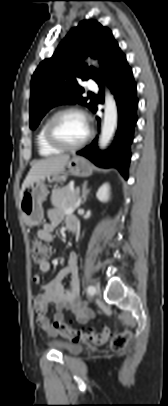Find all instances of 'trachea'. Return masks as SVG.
Returning <instances> with one entry per match:
<instances>
[{
    "label": "trachea",
    "mask_w": 168,
    "mask_h": 406,
    "mask_svg": "<svg viewBox=\"0 0 168 406\" xmlns=\"http://www.w3.org/2000/svg\"><path fill=\"white\" fill-rule=\"evenodd\" d=\"M89 95H93V93H89Z\"/></svg>",
    "instance_id": "trachea-1"
}]
</instances>
